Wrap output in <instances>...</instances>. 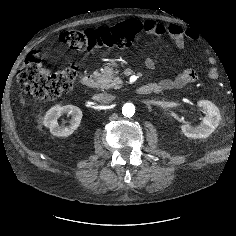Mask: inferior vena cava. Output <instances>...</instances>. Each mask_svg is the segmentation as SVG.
<instances>
[{
  "instance_id": "602c4592",
  "label": "inferior vena cava",
  "mask_w": 236,
  "mask_h": 236,
  "mask_svg": "<svg viewBox=\"0 0 236 236\" xmlns=\"http://www.w3.org/2000/svg\"><path fill=\"white\" fill-rule=\"evenodd\" d=\"M97 97H98V100L101 103H110V102H112L115 99V96H113L111 94H108V93L98 94Z\"/></svg>"
}]
</instances>
